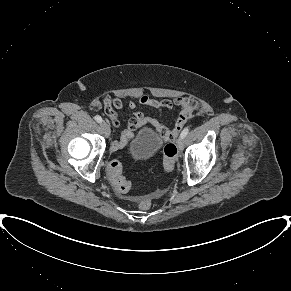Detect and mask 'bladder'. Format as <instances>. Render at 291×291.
<instances>
[{
  "label": "bladder",
  "mask_w": 291,
  "mask_h": 291,
  "mask_svg": "<svg viewBox=\"0 0 291 291\" xmlns=\"http://www.w3.org/2000/svg\"><path fill=\"white\" fill-rule=\"evenodd\" d=\"M162 144V138L158 133L150 128H143L128 145V153L133 160L145 161L152 158Z\"/></svg>",
  "instance_id": "1"
}]
</instances>
